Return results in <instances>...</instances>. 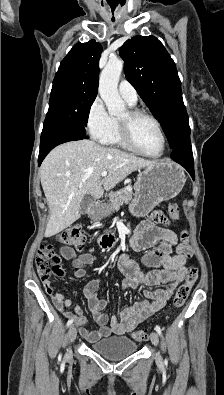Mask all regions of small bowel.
I'll return each instance as SVG.
<instances>
[{
  "label": "small bowel",
  "instance_id": "1",
  "mask_svg": "<svg viewBox=\"0 0 224 395\" xmlns=\"http://www.w3.org/2000/svg\"><path fill=\"white\" fill-rule=\"evenodd\" d=\"M163 219L161 211L154 212L149 218L143 220L136 228L130 244L135 251H145L142 256V263L152 268L148 273H143L139 265L127 254L119 258V268L125 275L122 281L124 288H137L140 286L150 287L164 285V289L143 290L144 298L132 306L121 309L119 316H112L110 319L104 312L107 301L98 296L100 279L91 280L83 289L82 296L86 299L88 309L99 325L98 329L91 331L87 328V319L82 314L79 306H73V312L68 309L72 306L71 300L64 294L56 292L49 279H42L43 286L52 299L55 307L63 315L79 327L81 335L89 342L94 343L102 338L111 335H126L138 324L162 309L175 287L185 277V264L192 255V247L188 243L186 234L179 235L174 231L160 227L159 223ZM157 242L160 244L153 248ZM175 251L172 254V251ZM60 255L71 261L75 269L74 275L81 279L86 274V268L91 267L94 258L90 253L76 254L70 246H61ZM161 267V268H159Z\"/></svg>",
  "mask_w": 224,
  "mask_h": 395
}]
</instances>
